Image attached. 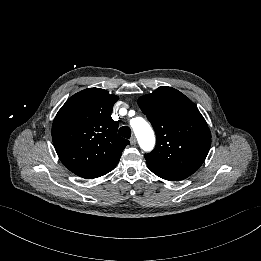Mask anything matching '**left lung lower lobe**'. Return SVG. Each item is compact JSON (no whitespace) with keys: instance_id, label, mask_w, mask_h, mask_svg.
<instances>
[{"instance_id":"1","label":"left lung lower lobe","mask_w":261,"mask_h":261,"mask_svg":"<svg viewBox=\"0 0 261 261\" xmlns=\"http://www.w3.org/2000/svg\"><path fill=\"white\" fill-rule=\"evenodd\" d=\"M148 168L157 176L169 181H179L187 178L188 176L179 172L163 169L155 165L147 163Z\"/></svg>"}]
</instances>
